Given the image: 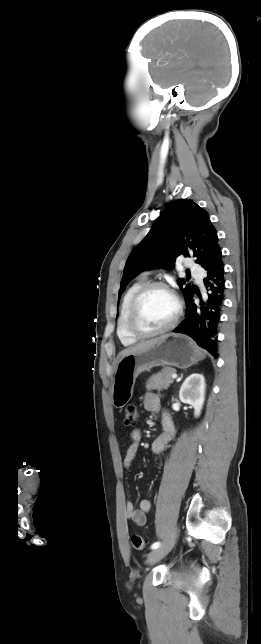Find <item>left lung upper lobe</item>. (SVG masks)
Instances as JSON below:
<instances>
[{"label": "left lung upper lobe", "instance_id": "5c2ea615", "mask_svg": "<svg viewBox=\"0 0 261 644\" xmlns=\"http://www.w3.org/2000/svg\"><path fill=\"white\" fill-rule=\"evenodd\" d=\"M220 252L217 232L208 213L192 200L170 203L156 219L154 227L127 259L119 298L127 283L139 272L158 266L172 268L177 257L193 256L203 268ZM185 300L194 286L179 280Z\"/></svg>", "mask_w": 261, "mask_h": 644}]
</instances>
